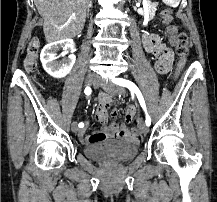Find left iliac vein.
I'll return each instance as SVG.
<instances>
[{
    "instance_id": "1",
    "label": "left iliac vein",
    "mask_w": 217,
    "mask_h": 202,
    "mask_svg": "<svg viewBox=\"0 0 217 202\" xmlns=\"http://www.w3.org/2000/svg\"><path fill=\"white\" fill-rule=\"evenodd\" d=\"M97 84H99L100 87L103 90H105L107 93H109L110 95H118V94L124 93V88L122 87L115 86L113 84H109L106 82H97ZM140 129L143 134L148 133V126L144 122L140 123Z\"/></svg>"
}]
</instances>
